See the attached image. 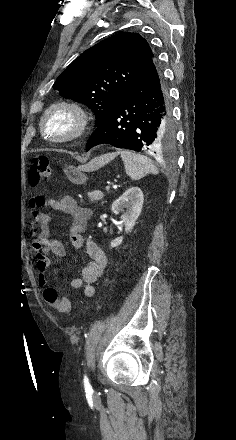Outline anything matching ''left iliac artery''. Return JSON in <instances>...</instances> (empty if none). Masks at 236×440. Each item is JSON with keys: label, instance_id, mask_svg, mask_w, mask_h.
I'll return each mask as SVG.
<instances>
[{"label": "left iliac artery", "instance_id": "left-iliac-artery-1", "mask_svg": "<svg viewBox=\"0 0 236 440\" xmlns=\"http://www.w3.org/2000/svg\"><path fill=\"white\" fill-rule=\"evenodd\" d=\"M84 387H85L86 391L92 390V387H91V385L89 383V379L87 378L86 375L84 376Z\"/></svg>", "mask_w": 236, "mask_h": 440}]
</instances>
